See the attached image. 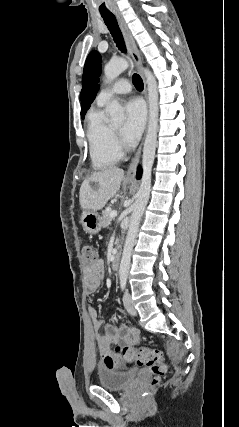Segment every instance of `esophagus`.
<instances>
[{"label":"esophagus","mask_w":239,"mask_h":427,"mask_svg":"<svg viewBox=\"0 0 239 427\" xmlns=\"http://www.w3.org/2000/svg\"><path fill=\"white\" fill-rule=\"evenodd\" d=\"M116 17H117V20L119 22L120 28L122 30L127 48H128L130 55L132 56V58L136 64V66L140 72L141 78L143 80V84H144L143 93H144V97H145L147 105H148L147 86H146L145 77L142 73V58H141L140 52H139V50L135 44V41L131 35V32H130L123 16L121 15V13H119V12L116 13ZM142 145H143V143L140 145L139 149L137 150L134 158L132 159V161L128 167V170L126 173V179H134V177H135L137 165H138L139 159L141 157Z\"/></svg>","instance_id":"obj_1"}]
</instances>
